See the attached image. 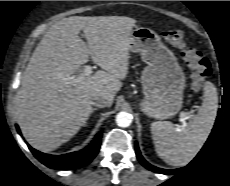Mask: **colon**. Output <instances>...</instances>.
Listing matches in <instances>:
<instances>
[{
  "label": "colon",
  "mask_w": 230,
  "mask_h": 186,
  "mask_svg": "<svg viewBox=\"0 0 230 186\" xmlns=\"http://www.w3.org/2000/svg\"><path fill=\"white\" fill-rule=\"evenodd\" d=\"M163 39L181 51V56L191 71V83L194 90L200 89L208 80L211 69L209 61L195 48L189 45L180 30H166Z\"/></svg>",
  "instance_id": "colon-1"
}]
</instances>
